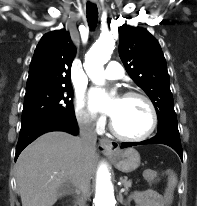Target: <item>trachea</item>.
I'll list each match as a JSON object with an SVG mask.
<instances>
[{"label":"trachea","instance_id":"3493384b","mask_svg":"<svg viewBox=\"0 0 197 206\" xmlns=\"http://www.w3.org/2000/svg\"><path fill=\"white\" fill-rule=\"evenodd\" d=\"M86 8H87V20H88L89 27L94 29L98 21L97 6L95 4L88 2Z\"/></svg>","mask_w":197,"mask_h":206}]
</instances>
